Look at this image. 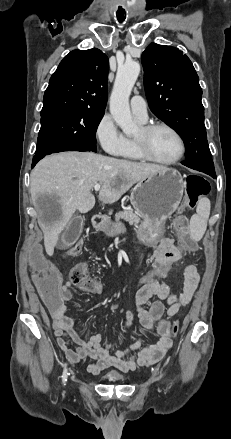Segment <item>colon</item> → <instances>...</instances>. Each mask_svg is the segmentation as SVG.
Segmentation results:
<instances>
[{
	"label": "colon",
	"mask_w": 231,
	"mask_h": 439,
	"mask_svg": "<svg viewBox=\"0 0 231 439\" xmlns=\"http://www.w3.org/2000/svg\"><path fill=\"white\" fill-rule=\"evenodd\" d=\"M210 190L207 180L200 176L189 175L186 177V208L192 209L196 203ZM174 228L179 235V240L182 246L189 252H193L196 248L195 242L189 231L188 218L185 215H179L174 220ZM83 243L80 240L75 241L74 245L67 250L68 255L77 254L82 248ZM32 255L37 256L33 259H28V268H35L33 283L38 287V293L41 295V300L44 302L46 311L48 313H57L59 311L60 294L57 293L59 284L62 282V275L55 269L51 268V260L48 255H45V248L43 246H34L32 248ZM183 257L179 254L174 257H169L167 260H162L165 264H155L152 268H148L144 272V277L139 279L134 290L140 286L141 283H168L165 281L166 273L173 271V266L180 264ZM71 280L82 290L98 293L101 291V283L89 277L88 269L85 263H78L71 271ZM133 290V291H134ZM177 324H171L168 321H163L158 324L157 332L161 338H171L177 332Z\"/></svg>",
	"instance_id": "5ec220e1"
}]
</instances>
